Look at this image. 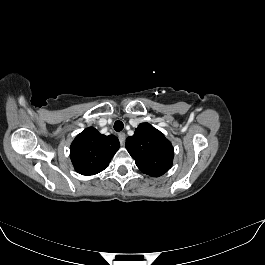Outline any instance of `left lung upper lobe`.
Masks as SVG:
<instances>
[{"instance_id":"5c2ea615","label":"left lung upper lobe","mask_w":265,"mask_h":265,"mask_svg":"<svg viewBox=\"0 0 265 265\" xmlns=\"http://www.w3.org/2000/svg\"><path fill=\"white\" fill-rule=\"evenodd\" d=\"M125 147L145 174L159 177L172 166L174 150L170 141L149 123H141L133 136L126 139Z\"/></svg>"}]
</instances>
